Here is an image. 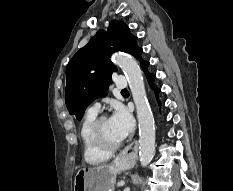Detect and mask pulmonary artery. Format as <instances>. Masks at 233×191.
Here are the masks:
<instances>
[{"instance_id":"pulmonary-artery-1","label":"pulmonary artery","mask_w":233,"mask_h":191,"mask_svg":"<svg viewBox=\"0 0 233 191\" xmlns=\"http://www.w3.org/2000/svg\"><path fill=\"white\" fill-rule=\"evenodd\" d=\"M114 85L116 88L118 89H124L127 87V80L124 76L120 75V76H117L115 79H114ZM99 110V103H94L90 106L89 108V111H92V112H98Z\"/></svg>"}]
</instances>
